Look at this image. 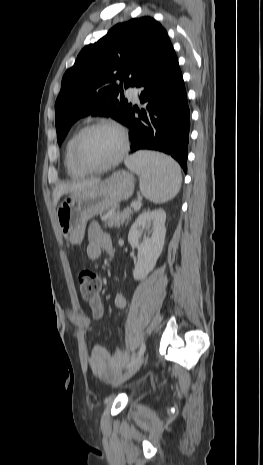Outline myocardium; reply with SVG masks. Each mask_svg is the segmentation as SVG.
<instances>
[{
  "instance_id": "1",
  "label": "myocardium",
  "mask_w": 263,
  "mask_h": 465,
  "mask_svg": "<svg viewBox=\"0 0 263 465\" xmlns=\"http://www.w3.org/2000/svg\"><path fill=\"white\" fill-rule=\"evenodd\" d=\"M110 128L115 130L121 139V149L118 155L111 161L103 165H89L81 157L80 149L83 137L87 132L96 128ZM129 149L128 134L123 126L110 120H97L82 127L76 134L73 142L72 153L76 165L87 173H99L117 166L126 156Z\"/></svg>"
}]
</instances>
